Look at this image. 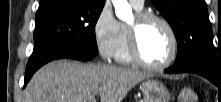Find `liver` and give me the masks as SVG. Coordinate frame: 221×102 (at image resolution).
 I'll return each mask as SVG.
<instances>
[{
  "mask_svg": "<svg viewBox=\"0 0 221 102\" xmlns=\"http://www.w3.org/2000/svg\"><path fill=\"white\" fill-rule=\"evenodd\" d=\"M145 72L104 64L59 60L40 68L25 89V102H122Z\"/></svg>",
  "mask_w": 221,
  "mask_h": 102,
  "instance_id": "6515ba94",
  "label": "liver"
}]
</instances>
